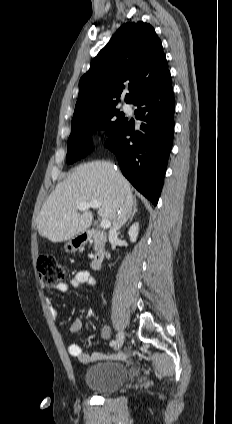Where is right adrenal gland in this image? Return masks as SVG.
I'll use <instances>...</instances> for the list:
<instances>
[{
    "instance_id": "right-adrenal-gland-1",
    "label": "right adrenal gland",
    "mask_w": 232,
    "mask_h": 424,
    "mask_svg": "<svg viewBox=\"0 0 232 424\" xmlns=\"http://www.w3.org/2000/svg\"><path fill=\"white\" fill-rule=\"evenodd\" d=\"M136 212H137V201H136V198H134L133 212L131 213V216H130L129 220L127 221V224L126 225H129V223L132 222L133 217H134V215H135Z\"/></svg>"
}]
</instances>
